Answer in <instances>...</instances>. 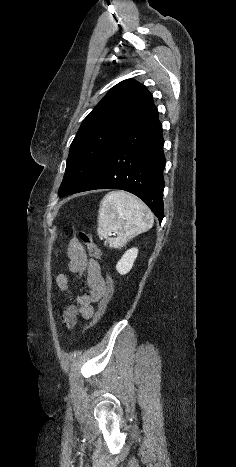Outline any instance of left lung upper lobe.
<instances>
[{
  "mask_svg": "<svg viewBox=\"0 0 236 467\" xmlns=\"http://www.w3.org/2000/svg\"><path fill=\"white\" fill-rule=\"evenodd\" d=\"M154 108L151 93L139 82L128 79L115 85L82 122L70 147L60 195L78 191L113 144Z\"/></svg>",
  "mask_w": 236,
  "mask_h": 467,
  "instance_id": "1",
  "label": "left lung upper lobe"
}]
</instances>
